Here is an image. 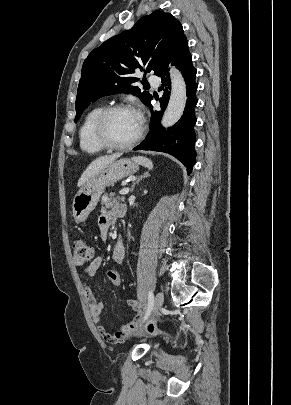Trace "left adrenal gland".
Returning a JSON list of instances; mask_svg holds the SVG:
<instances>
[{
    "mask_svg": "<svg viewBox=\"0 0 291 405\" xmlns=\"http://www.w3.org/2000/svg\"><path fill=\"white\" fill-rule=\"evenodd\" d=\"M149 176H150L149 172H146L143 175L139 176L137 178L136 182L133 183L132 188H131V192L134 191V188H135L136 184H138L143 178H147Z\"/></svg>",
    "mask_w": 291,
    "mask_h": 405,
    "instance_id": "1",
    "label": "left adrenal gland"
}]
</instances>
